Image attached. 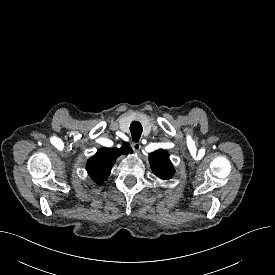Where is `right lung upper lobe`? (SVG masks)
<instances>
[{
	"mask_svg": "<svg viewBox=\"0 0 275 275\" xmlns=\"http://www.w3.org/2000/svg\"><path fill=\"white\" fill-rule=\"evenodd\" d=\"M128 143L121 148H101L87 162V172L96 183H103L110 174L115 160L122 154L131 153Z\"/></svg>",
	"mask_w": 275,
	"mask_h": 275,
	"instance_id": "cb5924a9",
	"label": "right lung upper lobe"
}]
</instances>
